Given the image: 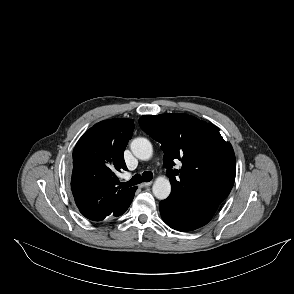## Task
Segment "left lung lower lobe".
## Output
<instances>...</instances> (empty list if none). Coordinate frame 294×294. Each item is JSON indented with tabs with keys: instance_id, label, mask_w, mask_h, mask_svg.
I'll use <instances>...</instances> for the list:
<instances>
[{
	"instance_id": "left-lung-lower-lobe-1",
	"label": "left lung lower lobe",
	"mask_w": 294,
	"mask_h": 294,
	"mask_svg": "<svg viewBox=\"0 0 294 294\" xmlns=\"http://www.w3.org/2000/svg\"><path fill=\"white\" fill-rule=\"evenodd\" d=\"M164 222L179 231H192L206 225L218 206L205 205L201 200L171 193L159 203Z\"/></svg>"
}]
</instances>
